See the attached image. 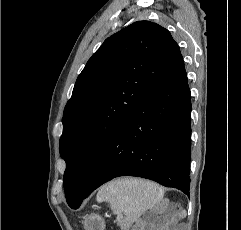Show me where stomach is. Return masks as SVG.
<instances>
[{
	"label": "stomach",
	"mask_w": 241,
	"mask_h": 230,
	"mask_svg": "<svg viewBox=\"0 0 241 230\" xmlns=\"http://www.w3.org/2000/svg\"><path fill=\"white\" fill-rule=\"evenodd\" d=\"M85 230H105V221L98 214L87 215L83 221Z\"/></svg>",
	"instance_id": "obj_1"
}]
</instances>
